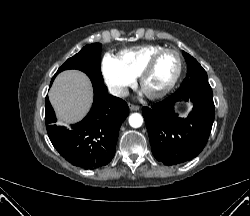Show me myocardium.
Segmentation results:
<instances>
[{
    "label": "myocardium",
    "mask_w": 250,
    "mask_h": 216,
    "mask_svg": "<svg viewBox=\"0 0 250 216\" xmlns=\"http://www.w3.org/2000/svg\"><path fill=\"white\" fill-rule=\"evenodd\" d=\"M165 53H173L176 55L177 60H178V68L177 71L173 77V79L171 80V82L167 85L166 88H164L162 91L155 93V94H147V96L150 99H160L165 97L167 94H169L172 89L175 87V85L177 84L178 80L180 79V76L182 74V70H183V60H182V56L179 53V51H177L176 49L173 48H163L159 51H157L156 53H154L149 60L146 62V64L144 65V67L142 68V70L140 71L139 75H138V79H139V85L141 86V88L143 87V83L145 78L147 77V75L151 72L154 64L156 63L157 59L165 54Z\"/></svg>",
    "instance_id": "1"
}]
</instances>
